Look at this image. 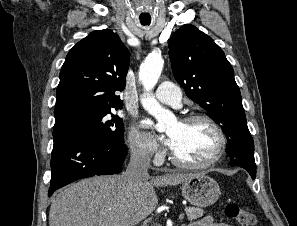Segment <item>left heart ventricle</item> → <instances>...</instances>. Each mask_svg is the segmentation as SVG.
Masks as SVG:
<instances>
[{"mask_svg":"<svg viewBox=\"0 0 297 226\" xmlns=\"http://www.w3.org/2000/svg\"><path fill=\"white\" fill-rule=\"evenodd\" d=\"M168 135L173 137L172 150L183 161L202 163L215 152L218 137L215 131L205 122H173L167 128Z\"/></svg>","mask_w":297,"mask_h":226,"instance_id":"b2bd125f","label":"left heart ventricle"}]
</instances>
